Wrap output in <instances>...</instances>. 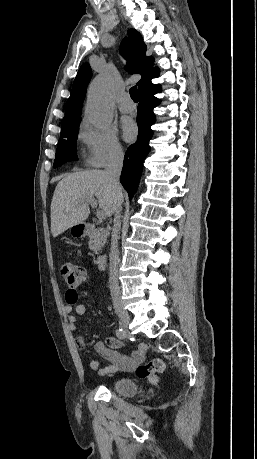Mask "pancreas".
<instances>
[{
  "instance_id": "pancreas-1",
  "label": "pancreas",
  "mask_w": 257,
  "mask_h": 459,
  "mask_svg": "<svg viewBox=\"0 0 257 459\" xmlns=\"http://www.w3.org/2000/svg\"><path fill=\"white\" fill-rule=\"evenodd\" d=\"M110 228H99L90 235L89 248L94 253H98L106 243Z\"/></svg>"
}]
</instances>
